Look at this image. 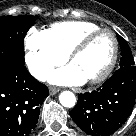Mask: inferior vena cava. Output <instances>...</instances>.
<instances>
[{
  "label": "inferior vena cava",
  "mask_w": 136,
  "mask_h": 136,
  "mask_svg": "<svg viewBox=\"0 0 136 136\" xmlns=\"http://www.w3.org/2000/svg\"><path fill=\"white\" fill-rule=\"evenodd\" d=\"M32 74L39 80H44L46 78V71L44 69L35 68L32 70Z\"/></svg>",
  "instance_id": "obj_1"
}]
</instances>
